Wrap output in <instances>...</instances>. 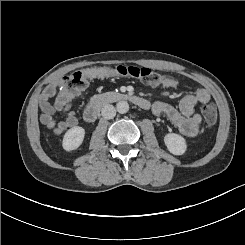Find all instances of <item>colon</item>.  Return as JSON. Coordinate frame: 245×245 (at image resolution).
Listing matches in <instances>:
<instances>
[{
	"instance_id": "obj_1",
	"label": "colon",
	"mask_w": 245,
	"mask_h": 245,
	"mask_svg": "<svg viewBox=\"0 0 245 245\" xmlns=\"http://www.w3.org/2000/svg\"><path fill=\"white\" fill-rule=\"evenodd\" d=\"M130 77L152 86H163L170 78L164 74L147 67L117 66L88 68L74 71L61 80L62 88L69 91H80L84 89L89 81L94 78L103 77ZM201 113L207 126L212 127L217 121V111L214 105L205 104Z\"/></svg>"
}]
</instances>
